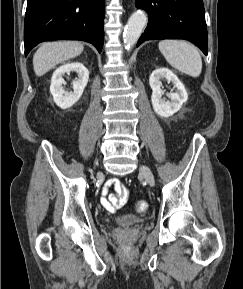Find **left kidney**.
<instances>
[{"instance_id": "left-kidney-1", "label": "left kidney", "mask_w": 243, "mask_h": 289, "mask_svg": "<svg viewBox=\"0 0 243 289\" xmlns=\"http://www.w3.org/2000/svg\"><path fill=\"white\" fill-rule=\"evenodd\" d=\"M172 82L177 89L175 93H166L170 101H166L162 96L164 91L161 89V79ZM152 89L151 102L155 113L161 117H170L176 113L188 99L187 91L178 77L167 68H159L152 72L149 78Z\"/></svg>"}]
</instances>
